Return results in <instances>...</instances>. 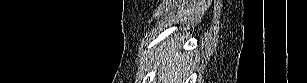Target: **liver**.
Here are the masks:
<instances>
[{"label":"liver","mask_w":307,"mask_h":83,"mask_svg":"<svg viewBox=\"0 0 307 83\" xmlns=\"http://www.w3.org/2000/svg\"><path fill=\"white\" fill-rule=\"evenodd\" d=\"M157 65L161 67V83H184L182 81L188 74L189 61L184 54L178 52L174 42H169L160 49Z\"/></svg>","instance_id":"liver-1"}]
</instances>
